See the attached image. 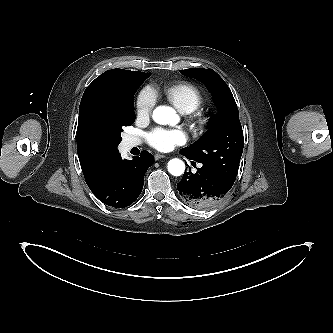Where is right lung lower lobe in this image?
<instances>
[{"label": "right lung lower lobe", "mask_w": 333, "mask_h": 333, "mask_svg": "<svg viewBox=\"0 0 333 333\" xmlns=\"http://www.w3.org/2000/svg\"><path fill=\"white\" fill-rule=\"evenodd\" d=\"M153 162V155L147 151H142L140 156H135L132 160H123L118 153L104 176L91 188V191L108 206L127 207L140 195L144 175Z\"/></svg>", "instance_id": "obj_1"}]
</instances>
